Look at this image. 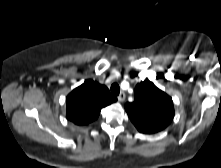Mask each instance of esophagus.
Returning a JSON list of instances; mask_svg holds the SVG:
<instances>
[{
    "mask_svg": "<svg viewBox=\"0 0 221 168\" xmlns=\"http://www.w3.org/2000/svg\"><path fill=\"white\" fill-rule=\"evenodd\" d=\"M126 98V95L124 92H121L118 96V101L123 102Z\"/></svg>",
    "mask_w": 221,
    "mask_h": 168,
    "instance_id": "obj_1",
    "label": "esophagus"
}]
</instances>
